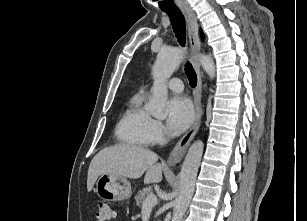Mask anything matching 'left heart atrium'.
I'll use <instances>...</instances> for the list:
<instances>
[{
	"label": "left heart atrium",
	"instance_id": "39dd6f15",
	"mask_svg": "<svg viewBox=\"0 0 307 221\" xmlns=\"http://www.w3.org/2000/svg\"><path fill=\"white\" fill-rule=\"evenodd\" d=\"M194 119V110L190 101L182 96L172 98L168 103L167 126L172 134L184 132Z\"/></svg>",
	"mask_w": 307,
	"mask_h": 221
}]
</instances>
